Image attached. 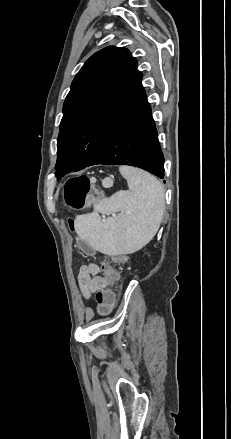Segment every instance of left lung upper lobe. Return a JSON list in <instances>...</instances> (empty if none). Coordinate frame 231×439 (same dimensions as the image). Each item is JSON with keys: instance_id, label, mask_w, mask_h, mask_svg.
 Wrapping results in <instances>:
<instances>
[{"instance_id": "1", "label": "left lung upper lobe", "mask_w": 231, "mask_h": 439, "mask_svg": "<svg viewBox=\"0 0 231 439\" xmlns=\"http://www.w3.org/2000/svg\"><path fill=\"white\" fill-rule=\"evenodd\" d=\"M142 74L131 53L109 46L93 54L75 76L63 105L56 177L84 169L138 98Z\"/></svg>"}]
</instances>
